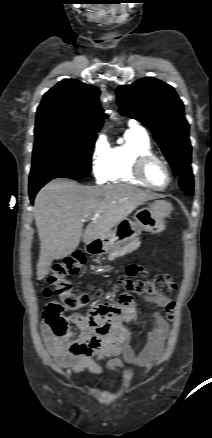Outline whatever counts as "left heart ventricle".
<instances>
[{
    "instance_id": "1",
    "label": "left heart ventricle",
    "mask_w": 212,
    "mask_h": 438,
    "mask_svg": "<svg viewBox=\"0 0 212 438\" xmlns=\"http://www.w3.org/2000/svg\"><path fill=\"white\" fill-rule=\"evenodd\" d=\"M146 178L156 187H163L168 182L166 170L159 162H151L146 169Z\"/></svg>"
}]
</instances>
